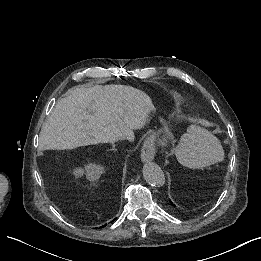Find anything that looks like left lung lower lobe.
Here are the masks:
<instances>
[{"label": "left lung lower lobe", "mask_w": 261, "mask_h": 261, "mask_svg": "<svg viewBox=\"0 0 261 261\" xmlns=\"http://www.w3.org/2000/svg\"><path fill=\"white\" fill-rule=\"evenodd\" d=\"M171 205L175 207V205L171 202Z\"/></svg>", "instance_id": "1"}]
</instances>
